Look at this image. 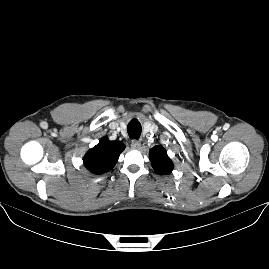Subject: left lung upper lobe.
I'll return each instance as SVG.
<instances>
[{"label":"left lung upper lobe","mask_w":269,"mask_h":269,"mask_svg":"<svg viewBox=\"0 0 269 269\" xmlns=\"http://www.w3.org/2000/svg\"><path fill=\"white\" fill-rule=\"evenodd\" d=\"M150 160L154 170L159 174H169L173 169V163L168 158L166 150L157 145L149 152Z\"/></svg>","instance_id":"obj_1"}]
</instances>
